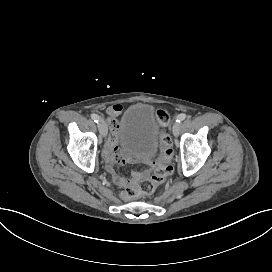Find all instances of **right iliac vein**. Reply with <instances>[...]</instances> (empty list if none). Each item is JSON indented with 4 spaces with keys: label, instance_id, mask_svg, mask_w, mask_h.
Segmentation results:
<instances>
[{
    "label": "right iliac vein",
    "instance_id": "right-iliac-vein-1",
    "mask_svg": "<svg viewBox=\"0 0 272 272\" xmlns=\"http://www.w3.org/2000/svg\"><path fill=\"white\" fill-rule=\"evenodd\" d=\"M98 128H99V132H100L101 136L103 138H105L107 135V125L103 120L99 121Z\"/></svg>",
    "mask_w": 272,
    "mask_h": 272
}]
</instances>
